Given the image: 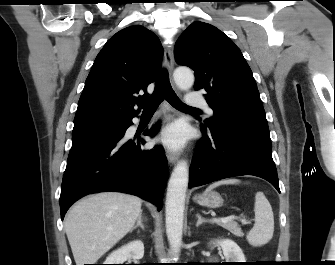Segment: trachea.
<instances>
[{
	"mask_svg": "<svg viewBox=\"0 0 335 265\" xmlns=\"http://www.w3.org/2000/svg\"><path fill=\"white\" fill-rule=\"evenodd\" d=\"M171 104L173 107L179 110H198L184 104L176 95L172 89L168 73L166 70H162L156 83L155 90L151 97L142 103L144 113H150L156 111L158 105L164 100Z\"/></svg>",
	"mask_w": 335,
	"mask_h": 265,
	"instance_id": "3493384b",
	"label": "trachea"
}]
</instances>
